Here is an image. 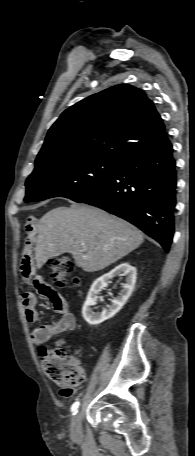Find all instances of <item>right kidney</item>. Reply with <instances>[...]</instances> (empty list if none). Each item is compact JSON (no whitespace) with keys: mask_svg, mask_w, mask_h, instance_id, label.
<instances>
[{"mask_svg":"<svg viewBox=\"0 0 195 456\" xmlns=\"http://www.w3.org/2000/svg\"><path fill=\"white\" fill-rule=\"evenodd\" d=\"M121 275L126 276V278L125 283L122 284L123 289L120 291L119 296L112 300V304L108 309H104L101 312H93L91 306L97 302L98 294L101 289L107 286L110 279ZM136 275V268L125 262L115 267L109 273H106L96 279L88 292L86 301L82 308V315L85 321L88 324L95 326L112 318L116 313H118L133 292L136 283Z\"/></svg>","mask_w":195,"mask_h":456,"instance_id":"obj_1","label":"right kidney"}]
</instances>
